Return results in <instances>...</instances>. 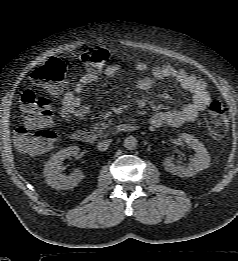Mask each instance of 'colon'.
<instances>
[{"instance_id":"5ec220e1","label":"colon","mask_w":238,"mask_h":261,"mask_svg":"<svg viewBox=\"0 0 238 261\" xmlns=\"http://www.w3.org/2000/svg\"><path fill=\"white\" fill-rule=\"evenodd\" d=\"M83 64L91 71H100L110 60V53L104 48H89L81 55ZM66 74L64 62L51 58L32 73V80L52 92L59 91ZM24 125L14 132L16 147L25 154H40L47 151L58 139L53 129L49 101L32 90L24 92L21 98ZM210 136L221 139L227 132L229 112L219 101H212L205 115Z\"/></svg>"}]
</instances>
